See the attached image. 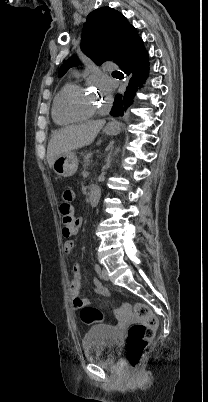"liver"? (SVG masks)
Segmentation results:
<instances>
[{
	"label": "liver",
	"mask_w": 208,
	"mask_h": 402,
	"mask_svg": "<svg viewBox=\"0 0 208 402\" xmlns=\"http://www.w3.org/2000/svg\"><path fill=\"white\" fill-rule=\"evenodd\" d=\"M104 124H106L105 120H96V122H87V124H78V126H67V128L55 132L47 148V162L50 168L58 156L78 150L83 146H90Z\"/></svg>",
	"instance_id": "liver-1"
}]
</instances>
